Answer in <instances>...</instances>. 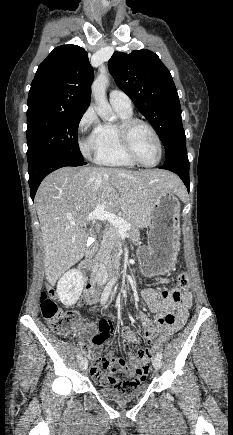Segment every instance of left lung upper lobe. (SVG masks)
Returning <instances> with one entry per match:
<instances>
[{"mask_svg":"<svg viewBox=\"0 0 233 435\" xmlns=\"http://www.w3.org/2000/svg\"><path fill=\"white\" fill-rule=\"evenodd\" d=\"M108 68L117 85L157 131L165 160L186 151L181 107L172 76L152 51L114 52Z\"/></svg>","mask_w":233,"mask_h":435,"instance_id":"left-lung-upper-lobe-1","label":"left lung upper lobe"}]
</instances>
